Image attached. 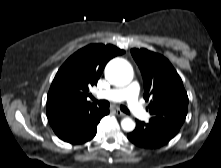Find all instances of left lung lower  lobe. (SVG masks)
I'll return each mask as SVG.
<instances>
[{"label":"left lung lower lobe","instance_id":"0a47b994","mask_svg":"<svg viewBox=\"0 0 221 168\" xmlns=\"http://www.w3.org/2000/svg\"><path fill=\"white\" fill-rule=\"evenodd\" d=\"M177 133L154 123L136 120V128L128 133V139L136 146L151 149L169 142Z\"/></svg>","mask_w":221,"mask_h":168}]
</instances>
